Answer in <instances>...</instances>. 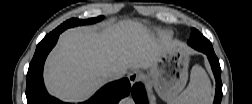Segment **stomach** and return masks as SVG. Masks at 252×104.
<instances>
[{"instance_id": "0dacf381", "label": "stomach", "mask_w": 252, "mask_h": 104, "mask_svg": "<svg viewBox=\"0 0 252 104\" xmlns=\"http://www.w3.org/2000/svg\"><path fill=\"white\" fill-rule=\"evenodd\" d=\"M189 54L179 46H167L149 68V76L157 94L174 103L188 80Z\"/></svg>"}]
</instances>
